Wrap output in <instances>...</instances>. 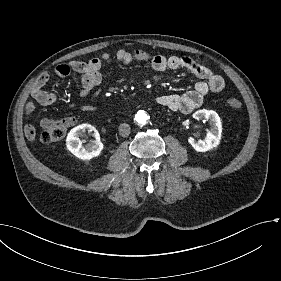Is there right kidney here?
Instances as JSON below:
<instances>
[{
	"mask_svg": "<svg viewBox=\"0 0 281 281\" xmlns=\"http://www.w3.org/2000/svg\"><path fill=\"white\" fill-rule=\"evenodd\" d=\"M87 131L95 136V139H92L90 143L84 147L79 136ZM103 148L104 145L102 144L97 131L92 125L81 124L70 131V152L78 159L91 160L95 157H98Z\"/></svg>",
	"mask_w": 281,
	"mask_h": 281,
	"instance_id": "right-kidney-1",
	"label": "right kidney"
}]
</instances>
